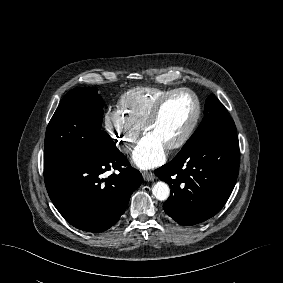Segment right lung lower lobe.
Returning a JSON list of instances; mask_svg holds the SVG:
<instances>
[{
  "mask_svg": "<svg viewBox=\"0 0 283 283\" xmlns=\"http://www.w3.org/2000/svg\"><path fill=\"white\" fill-rule=\"evenodd\" d=\"M112 169L117 172L106 177L104 173ZM44 180L51 201L71 225L87 232H102L124 213L142 175L111 141L45 170Z\"/></svg>",
  "mask_w": 283,
  "mask_h": 283,
  "instance_id": "98d812e1",
  "label": "right lung lower lobe"
}]
</instances>
